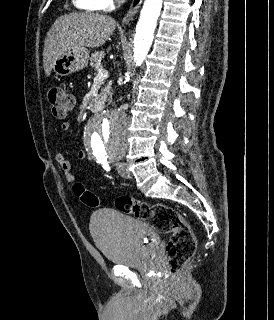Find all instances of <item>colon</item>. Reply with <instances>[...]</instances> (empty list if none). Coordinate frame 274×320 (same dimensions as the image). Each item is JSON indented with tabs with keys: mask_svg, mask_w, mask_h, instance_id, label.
Segmentation results:
<instances>
[{
	"mask_svg": "<svg viewBox=\"0 0 274 320\" xmlns=\"http://www.w3.org/2000/svg\"><path fill=\"white\" fill-rule=\"evenodd\" d=\"M48 100L56 118H64L72 107V98L62 87H51ZM73 192L86 205L97 204L96 197L85 190L80 182L73 184ZM115 207L121 212L135 215L161 234H170L167 246L168 267L173 274L184 270L195 253L197 242L191 225L175 208L161 202L147 203L130 197L117 198Z\"/></svg>",
	"mask_w": 274,
	"mask_h": 320,
	"instance_id": "5ec220e1",
	"label": "colon"
}]
</instances>
